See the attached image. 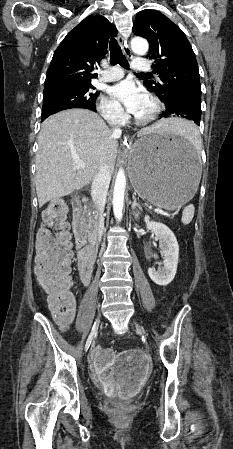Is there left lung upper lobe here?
<instances>
[{
  "mask_svg": "<svg viewBox=\"0 0 233 449\" xmlns=\"http://www.w3.org/2000/svg\"><path fill=\"white\" fill-rule=\"evenodd\" d=\"M133 32L148 40L147 58L154 60V72L160 78L144 85L167 104L185 101L201 107L198 65L183 31L162 13L146 9L137 14Z\"/></svg>",
  "mask_w": 233,
  "mask_h": 449,
  "instance_id": "left-lung-upper-lobe-1",
  "label": "left lung upper lobe"
}]
</instances>
